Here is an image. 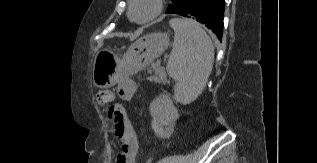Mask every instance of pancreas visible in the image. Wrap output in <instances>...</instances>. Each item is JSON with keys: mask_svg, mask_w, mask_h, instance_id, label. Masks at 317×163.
<instances>
[{"mask_svg": "<svg viewBox=\"0 0 317 163\" xmlns=\"http://www.w3.org/2000/svg\"><path fill=\"white\" fill-rule=\"evenodd\" d=\"M152 72L154 74L150 76L149 78L150 80L158 82V83L166 81L165 69L161 67L160 65L152 64L151 68L148 69V73L152 74Z\"/></svg>", "mask_w": 317, "mask_h": 163, "instance_id": "cf45deb5", "label": "pancreas"}]
</instances>
